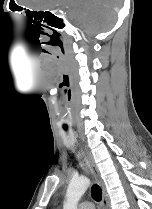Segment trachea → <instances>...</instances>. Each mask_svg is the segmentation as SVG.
<instances>
[{"label":"trachea","instance_id":"trachea-1","mask_svg":"<svg viewBox=\"0 0 152 209\" xmlns=\"http://www.w3.org/2000/svg\"><path fill=\"white\" fill-rule=\"evenodd\" d=\"M65 130L67 128H64ZM91 195H92V198L95 200V201H100L101 198H102V191H101V188L95 184L92 186L91 188Z\"/></svg>","mask_w":152,"mask_h":209}]
</instances>
